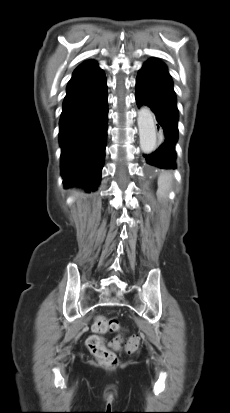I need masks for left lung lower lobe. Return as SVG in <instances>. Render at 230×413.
Instances as JSON below:
<instances>
[{"label":"left lung lower lobe","mask_w":230,"mask_h":413,"mask_svg":"<svg viewBox=\"0 0 230 413\" xmlns=\"http://www.w3.org/2000/svg\"><path fill=\"white\" fill-rule=\"evenodd\" d=\"M136 102L138 107L151 108L165 134L164 142L155 152L143 155L147 164L163 169L176 168L178 108L171 76L162 61L150 59L140 69L136 79Z\"/></svg>","instance_id":"obj_1"}]
</instances>
